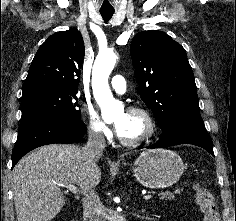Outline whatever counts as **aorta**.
<instances>
[{"instance_id": "1", "label": "aorta", "mask_w": 236, "mask_h": 221, "mask_svg": "<svg viewBox=\"0 0 236 221\" xmlns=\"http://www.w3.org/2000/svg\"><path fill=\"white\" fill-rule=\"evenodd\" d=\"M116 59V55L111 51L100 53L93 66L92 88L104 119H113L123 113L122 103L114 99L108 85V77L115 66Z\"/></svg>"}]
</instances>
